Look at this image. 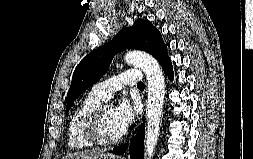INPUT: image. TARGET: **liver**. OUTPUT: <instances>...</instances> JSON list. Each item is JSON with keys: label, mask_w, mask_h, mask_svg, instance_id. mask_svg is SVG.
Segmentation results:
<instances>
[{"label": "liver", "mask_w": 253, "mask_h": 159, "mask_svg": "<svg viewBox=\"0 0 253 159\" xmlns=\"http://www.w3.org/2000/svg\"><path fill=\"white\" fill-rule=\"evenodd\" d=\"M101 159V158H114L112 154H105L102 151L92 150L84 152H75L63 159Z\"/></svg>", "instance_id": "liver-1"}]
</instances>
